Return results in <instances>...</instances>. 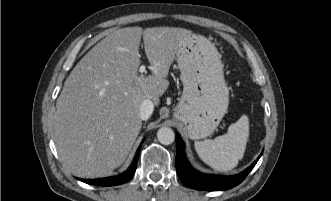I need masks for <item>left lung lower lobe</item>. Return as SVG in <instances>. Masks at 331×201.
<instances>
[{
  "label": "left lung lower lobe",
  "instance_id": "0a47b994",
  "mask_svg": "<svg viewBox=\"0 0 331 201\" xmlns=\"http://www.w3.org/2000/svg\"><path fill=\"white\" fill-rule=\"evenodd\" d=\"M260 156L242 173L234 176L203 174L194 170L184 156V145L180 136H176V170L182 183L192 189L220 191L231 189L240 184L258 162Z\"/></svg>",
  "mask_w": 331,
  "mask_h": 201
}]
</instances>
